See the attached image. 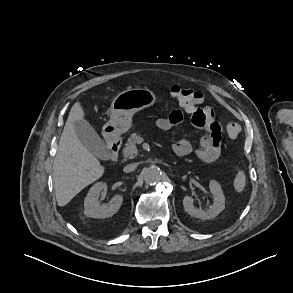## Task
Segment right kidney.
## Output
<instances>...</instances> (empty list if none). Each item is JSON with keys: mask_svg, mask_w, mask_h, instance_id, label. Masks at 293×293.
<instances>
[{"mask_svg": "<svg viewBox=\"0 0 293 293\" xmlns=\"http://www.w3.org/2000/svg\"><path fill=\"white\" fill-rule=\"evenodd\" d=\"M104 185L102 182L95 183L89 190L84 201V214L92 218H107L113 216L121 207L122 195H115L108 204L101 205L98 196Z\"/></svg>", "mask_w": 293, "mask_h": 293, "instance_id": "1", "label": "right kidney"}]
</instances>
